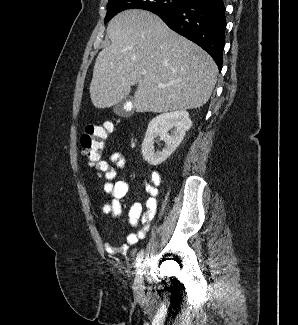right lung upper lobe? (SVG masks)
Here are the masks:
<instances>
[{"instance_id":"right-lung-upper-lobe-1","label":"right lung upper lobe","mask_w":298,"mask_h":325,"mask_svg":"<svg viewBox=\"0 0 298 325\" xmlns=\"http://www.w3.org/2000/svg\"><path fill=\"white\" fill-rule=\"evenodd\" d=\"M110 1H112V0H109V2H110ZM159 12H161V11H156V12H153V13H159Z\"/></svg>"}]
</instances>
